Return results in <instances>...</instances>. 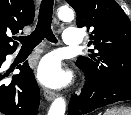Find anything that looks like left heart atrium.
<instances>
[{"label":"left heart atrium","instance_id":"left-heart-atrium-1","mask_svg":"<svg viewBox=\"0 0 131 115\" xmlns=\"http://www.w3.org/2000/svg\"><path fill=\"white\" fill-rule=\"evenodd\" d=\"M37 75L39 80L48 86H60L66 81V74L61 70L60 63L53 57H47L40 63Z\"/></svg>","mask_w":131,"mask_h":115}]
</instances>
